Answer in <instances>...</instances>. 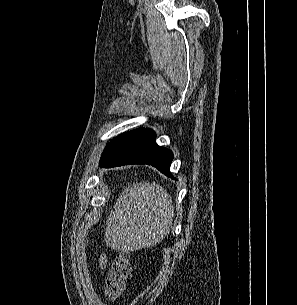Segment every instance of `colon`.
Here are the masks:
<instances>
[{
    "mask_svg": "<svg viewBox=\"0 0 297 305\" xmlns=\"http://www.w3.org/2000/svg\"><path fill=\"white\" fill-rule=\"evenodd\" d=\"M132 275V260L128 253H119L112 261L104 281V294L107 300L119 299L126 287L127 280Z\"/></svg>",
    "mask_w": 297,
    "mask_h": 305,
    "instance_id": "colon-1",
    "label": "colon"
}]
</instances>
